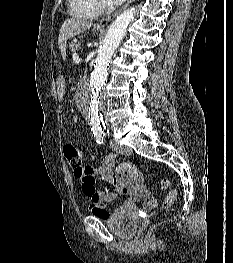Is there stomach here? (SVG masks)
Segmentation results:
<instances>
[{
    "label": "stomach",
    "mask_w": 233,
    "mask_h": 263,
    "mask_svg": "<svg viewBox=\"0 0 233 263\" xmlns=\"http://www.w3.org/2000/svg\"><path fill=\"white\" fill-rule=\"evenodd\" d=\"M54 81L59 82L57 84V90L58 91H66V88H70V86H71L70 83H66L64 77H55Z\"/></svg>",
    "instance_id": "stomach-1"
}]
</instances>
